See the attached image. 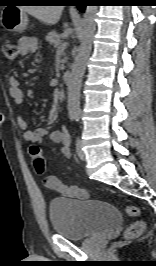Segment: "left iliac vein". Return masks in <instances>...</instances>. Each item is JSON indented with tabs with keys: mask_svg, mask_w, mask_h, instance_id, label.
Returning <instances> with one entry per match:
<instances>
[{
	"mask_svg": "<svg viewBox=\"0 0 156 266\" xmlns=\"http://www.w3.org/2000/svg\"><path fill=\"white\" fill-rule=\"evenodd\" d=\"M76 151H77L78 157L81 160H85L86 156H85V153L82 150V145H81L80 139H77V142H76Z\"/></svg>",
	"mask_w": 156,
	"mask_h": 266,
	"instance_id": "obj_1",
	"label": "left iliac vein"
}]
</instances>
